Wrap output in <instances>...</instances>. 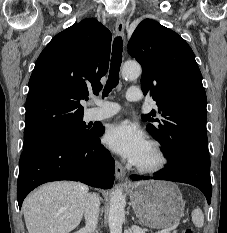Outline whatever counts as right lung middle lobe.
<instances>
[{
	"label": "right lung middle lobe",
	"instance_id": "1",
	"mask_svg": "<svg viewBox=\"0 0 227 233\" xmlns=\"http://www.w3.org/2000/svg\"><path fill=\"white\" fill-rule=\"evenodd\" d=\"M82 118L80 117L43 132L24 135L23 148L53 139H79L90 136L93 133V129H87L86 123L83 122Z\"/></svg>",
	"mask_w": 227,
	"mask_h": 233
}]
</instances>
